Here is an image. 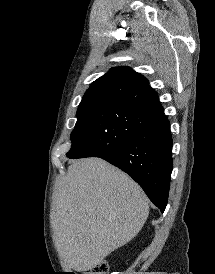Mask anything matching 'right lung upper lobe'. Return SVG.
<instances>
[{
    "label": "right lung upper lobe",
    "mask_w": 215,
    "mask_h": 274,
    "mask_svg": "<svg viewBox=\"0 0 215 274\" xmlns=\"http://www.w3.org/2000/svg\"><path fill=\"white\" fill-rule=\"evenodd\" d=\"M91 101H117L158 116L164 113L158 94L148 80L128 67L112 68L94 81L81 103Z\"/></svg>",
    "instance_id": "cb5924a9"
}]
</instances>
